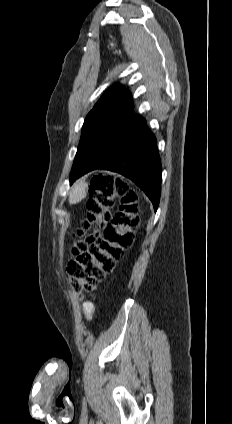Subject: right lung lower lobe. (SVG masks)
<instances>
[{
	"label": "right lung lower lobe",
	"mask_w": 232,
	"mask_h": 424,
	"mask_svg": "<svg viewBox=\"0 0 232 424\" xmlns=\"http://www.w3.org/2000/svg\"><path fill=\"white\" fill-rule=\"evenodd\" d=\"M95 169L117 172L131 179L151 200L154 210L161 193V161L154 134L145 120L134 113L133 119L112 132L87 161L82 171L70 177V184Z\"/></svg>",
	"instance_id": "right-lung-lower-lobe-1"
}]
</instances>
